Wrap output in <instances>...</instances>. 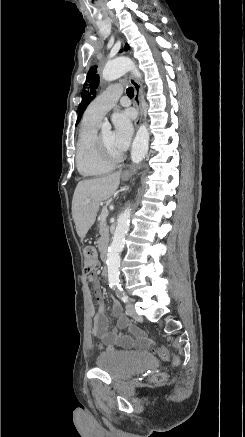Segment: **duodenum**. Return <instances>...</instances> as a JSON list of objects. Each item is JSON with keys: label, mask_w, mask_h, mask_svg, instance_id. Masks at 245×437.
<instances>
[{"label": "duodenum", "mask_w": 245, "mask_h": 437, "mask_svg": "<svg viewBox=\"0 0 245 437\" xmlns=\"http://www.w3.org/2000/svg\"><path fill=\"white\" fill-rule=\"evenodd\" d=\"M101 259L104 261V262H106L107 260H108V251H107V248L106 247H102V249H101ZM102 274H103V276H107V274H108V271H107V268L106 267H104V269H103V271H102Z\"/></svg>", "instance_id": "obj_1"}]
</instances>
